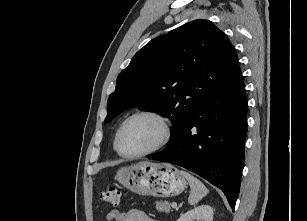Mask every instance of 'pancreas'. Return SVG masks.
<instances>
[{
  "instance_id": "cf45deb5",
  "label": "pancreas",
  "mask_w": 307,
  "mask_h": 221,
  "mask_svg": "<svg viewBox=\"0 0 307 221\" xmlns=\"http://www.w3.org/2000/svg\"><path fill=\"white\" fill-rule=\"evenodd\" d=\"M171 204L168 201H160L156 202V209L160 212H170L171 210Z\"/></svg>"
}]
</instances>
